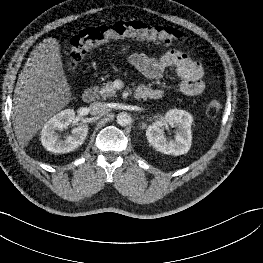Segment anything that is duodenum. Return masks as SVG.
<instances>
[{"instance_id":"obj_1","label":"duodenum","mask_w":263,"mask_h":263,"mask_svg":"<svg viewBox=\"0 0 263 263\" xmlns=\"http://www.w3.org/2000/svg\"><path fill=\"white\" fill-rule=\"evenodd\" d=\"M97 91L94 87H90L87 88L83 94H82V98L84 100V102H92L94 101L95 97H96ZM149 96V93L143 89H137L135 92V98L138 100L141 99H146Z\"/></svg>"}]
</instances>
